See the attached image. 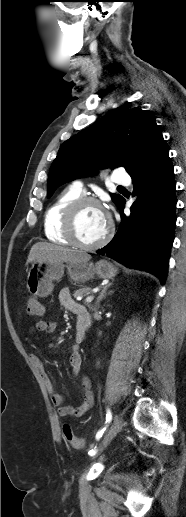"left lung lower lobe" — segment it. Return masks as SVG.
<instances>
[{"mask_svg":"<svg viewBox=\"0 0 186 517\" xmlns=\"http://www.w3.org/2000/svg\"><path fill=\"white\" fill-rule=\"evenodd\" d=\"M163 138L129 174L138 196L131 215L123 213L125 199L118 203L122 222L112 241L97 250L130 268L155 274L164 283L176 223L173 165Z\"/></svg>","mask_w":186,"mask_h":517,"instance_id":"obj_1","label":"left lung lower lobe"}]
</instances>
